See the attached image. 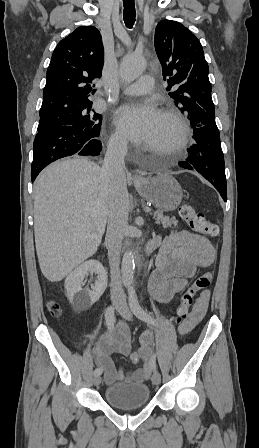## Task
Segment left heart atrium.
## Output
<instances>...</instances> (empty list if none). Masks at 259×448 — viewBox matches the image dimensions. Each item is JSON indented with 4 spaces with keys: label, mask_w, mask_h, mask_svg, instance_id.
Segmentation results:
<instances>
[{
    "label": "left heart atrium",
    "mask_w": 259,
    "mask_h": 448,
    "mask_svg": "<svg viewBox=\"0 0 259 448\" xmlns=\"http://www.w3.org/2000/svg\"><path fill=\"white\" fill-rule=\"evenodd\" d=\"M159 119V111L151 103L124 105L114 116L118 129L134 142L141 141L155 127Z\"/></svg>",
    "instance_id": "left-heart-atrium-1"
}]
</instances>
